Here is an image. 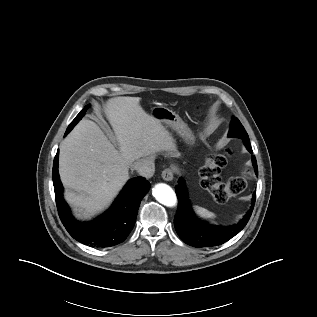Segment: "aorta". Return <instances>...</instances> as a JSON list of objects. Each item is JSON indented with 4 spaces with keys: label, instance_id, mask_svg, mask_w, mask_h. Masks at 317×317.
<instances>
[{
    "label": "aorta",
    "instance_id": "aorta-1",
    "mask_svg": "<svg viewBox=\"0 0 317 317\" xmlns=\"http://www.w3.org/2000/svg\"><path fill=\"white\" fill-rule=\"evenodd\" d=\"M155 199L166 207H173L177 203V197L173 189L164 183H158L152 190Z\"/></svg>",
    "mask_w": 317,
    "mask_h": 317
}]
</instances>
